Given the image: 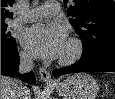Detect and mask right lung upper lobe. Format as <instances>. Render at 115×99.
<instances>
[{"instance_id": "right-lung-upper-lobe-1", "label": "right lung upper lobe", "mask_w": 115, "mask_h": 99, "mask_svg": "<svg viewBox=\"0 0 115 99\" xmlns=\"http://www.w3.org/2000/svg\"><path fill=\"white\" fill-rule=\"evenodd\" d=\"M14 0H1V23H4L5 18H12L13 13L8 11L12 7Z\"/></svg>"}]
</instances>
